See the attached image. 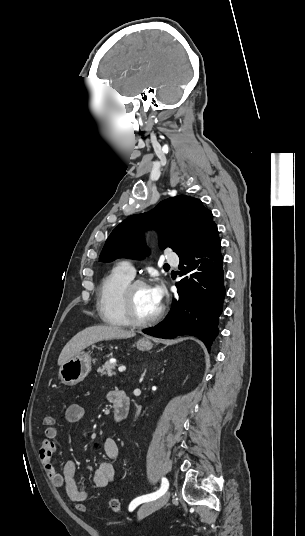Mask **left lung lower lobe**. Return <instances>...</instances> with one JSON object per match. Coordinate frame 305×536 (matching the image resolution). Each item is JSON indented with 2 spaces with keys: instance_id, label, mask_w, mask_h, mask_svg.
Masks as SVG:
<instances>
[{
  "instance_id": "left-lung-lower-lobe-1",
  "label": "left lung lower lobe",
  "mask_w": 305,
  "mask_h": 536,
  "mask_svg": "<svg viewBox=\"0 0 305 536\" xmlns=\"http://www.w3.org/2000/svg\"><path fill=\"white\" fill-rule=\"evenodd\" d=\"M217 226L189 253L180 256L178 297L166 319L143 333L171 339L191 335L210 346L218 335L225 297L223 256Z\"/></svg>"
}]
</instances>
